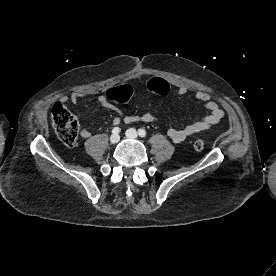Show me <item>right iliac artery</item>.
Returning a JSON list of instances; mask_svg holds the SVG:
<instances>
[{
	"label": "right iliac artery",
	"mask_w": 276,
	"mask_h": 276,
	"mask_svg": "<svg viewBox=\"0 0 276 276\" xmlns=\"http://www.w3.org/2000/svg\"><path fill=\"white\" fill-rule=\"evenodd\" d=\"M120 132V128L119 127H114L112 130L113 134H118Z\"/></svg>",
	"instance_id": "obj_1"
}]
</instances>
